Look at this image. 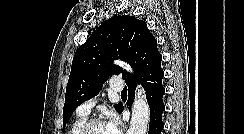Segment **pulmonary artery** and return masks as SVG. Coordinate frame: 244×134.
Returning a JSON list of instances; mask_svg holds the SVG:
<instances>
[{"instance_id":"e3ab8cb5","label":"pulmonary artery","mask_w":244,"mask_h":134,"mask_svg":"<svg viewBox=\"0 0 244 134\" xmlns=\"http://www.w3.org/2000/svg\"><path fill=\"white\" fill-rule=\"evenodd\" d=\"M111 90L114 92H122V90L124 89V84L121 80H113L111 82ZM94 105L93 101H87L83 104H81L78 108H77V113L78 115H82V116H88L89 113L91 112V108Z\"/></svg>"}]
</instances>
